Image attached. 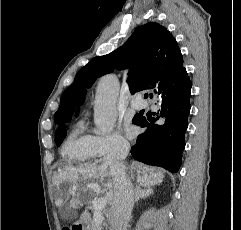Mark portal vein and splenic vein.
<instances>
[{
    "instance_id": "obj_1",
    "label": "portal vein and splenic vein",
    "mask_w": 241,
    "mask_h": 230,
    "mask_svg": "<svg viewBox=\"0 0 241 230\" xmlns=\"http://www.w3.org/2000/svg\"><path fill=\"white\" fill-rule=\"evenodd\" d=\"M94 189L97 192H100V188L98 186H95ZM107 205V198L106 197H101L94 201L93 203V217L96 222H99L101 220V212Z\"/></svg>"
}]
</instances>
